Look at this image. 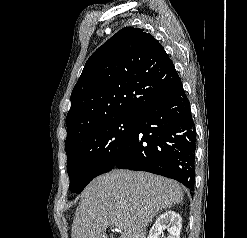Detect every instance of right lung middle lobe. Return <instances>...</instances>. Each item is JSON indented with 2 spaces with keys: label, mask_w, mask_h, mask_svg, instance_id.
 Masks as SVG:
<instances>
[{
  "label": "right lung middle lobe",
  "mask_w": 247,
  "mask_h": 238,
  "mask_svg": "<svg viewBox=\"0 0 247 238\" xmlns=\"http://www.w3.org/2000/svg\"><path fill=\"white\" fill-rule=\"evenodd\" d=\"M139 114L98 124L65 146L70 191L77 194L96 176L110 171L131 136Z\"/></svg>",
  "instance_id": "right-lung-middle-lobe-1"
}]
</instances>
